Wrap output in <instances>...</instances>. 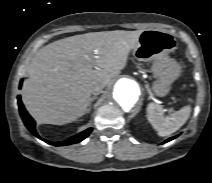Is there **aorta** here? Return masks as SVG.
Here are the masks:
<instances>
[{
    "label": "aorta",
    "instance_id": "aorta-1",
    "mask_svg": "<svg viewBox=\"0 0 212 183\" xmlns=\"http://www.w3.org/2000/svg\"><path fill=\"white\" fill-rule=\"evenodd\" d=\"M140 95V87L136 81L121 78L114 84L112 101L119 109L129 112L139 102Z\"/></svg>",
    "mask_w": 212,
    "mask_h": 183
}]
</instances>
